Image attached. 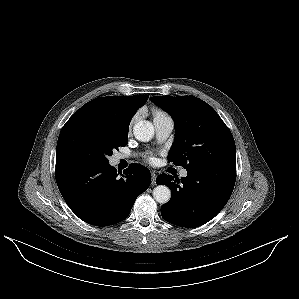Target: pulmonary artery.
Returning a JSON list of instances; mask_svg holds the SVG:
<instances>
[{"label": "pulmonary artery", "instance_id": "pulmonary-artery-1", "mask_svg": "<svg viewBox=\"0 0 299 299\" xmlns=\"http://www.w3.org/2000/svg\"><path fill=\"white\" fill-rule=\"evenodd\" d=\"M154 126H155V132L158 140L164 141L171 134L174 128V121L170 116H162L154 119ZM119 158L125 159L127 158V155H120ZM187 174L188 173L186 169H182L180 171L181 177H186Z\"/></svg>", "mask_w": 299, "mask_h": 299}]
</instances>
